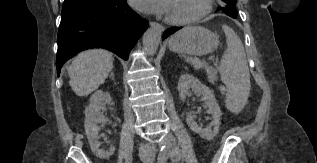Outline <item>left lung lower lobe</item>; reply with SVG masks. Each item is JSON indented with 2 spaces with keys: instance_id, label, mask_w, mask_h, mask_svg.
Returning <instances> with one entry per match:
<instances>
[{
  "instance_id": "left-lung-lower-lobe-1",
  "label": "left lung lower lobe",
  "mask_w": 317,
  "mask_h": 163,
  "mask_svg": "<svg viewBox=\"0 0 317 163\" xmlns=\"http://www.w3.org/2000/svg\"><path fill=\"white\" fill-rule=\"evenodd\" d=\"M177 30H178V28H171V29L166 30V31L164 32V34H163L162 39L167 38L170 34L174 33V32L177 31Z\"/></svg>"
}]
</instances>
